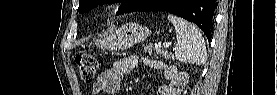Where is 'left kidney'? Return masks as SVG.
<instances>
[{
  "instance_id": "left-kidney-1",
  "label": "left kidney",
  "mask_w": 277,
  "mask_h": 95,
  "mask_svg": "<svg viewBox=\"0 0 277 95\" xmlns=\"http://www.w3.org/2000/svg\"><path fill=\"white\" fill-rule=\"evenodd\" d=\"M178 77H179L178 75L174 76L173 81L171 82V84L169 86L168 92H170V93L176 92L177 91L176 85L180 84L182 86L184 80H183V78L181 79Z\"/></svg>"
}]
</instances>
